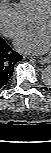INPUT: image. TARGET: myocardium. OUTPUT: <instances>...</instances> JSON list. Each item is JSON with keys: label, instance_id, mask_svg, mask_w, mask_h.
<instances>
[{"label": "myocardium", "instance_id": "f54148a6", "mask_svg": "<svg viewBox=\"0 0 51 153\" xmlns=\"http://www.w3.org/2000/svg\"><path fill=\"white\" fill-rule=\"evenodd\" d=\"M44 18H51V5L44 9L43 11H41L35 18H34V22L36 23L37 21L44 19Z\"/></svg>", "mask_w": 51, "mask_h": 153}]
</instances>
